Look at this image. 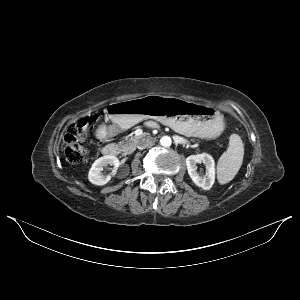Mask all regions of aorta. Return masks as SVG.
I'll list each match as a JSON object with an SVG mask.
<instances>
[{"label":"aorta","instance_id":"aorta-1","mask_svg":"<svg viewBox=\"0 0 300 300\" xmlns=\"http://www.w3.org/2000/svg\"><path fill=\"white\" fill-rule=\"evenodd\" d=\"M160 144H161L163 147H170L171 144H172V139H171L169 136H163V137L160 139Z\"/></svg>","mask_w":300,"mask_h":300}]
</instances>
